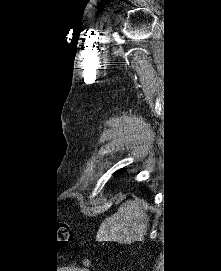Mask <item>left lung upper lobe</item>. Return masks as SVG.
I'll return each instance as SVG.
<instances>
[{
    "label": "left lung upper lobe",
    "mask_w": 221,
    "mask_h": 271,
    "mask_svg": "<svg viewBox=\"0 0 221 271\" xmlns=\"http://www.w3.org/2000/svg\"><path fill=\"white\" fill-rule=\"evenodd\" d=\"M124 171H125L124 169H120V170L116 171V172L114 173V175L121 174V173H123Z\"/></svg>",
    "instance_id": "1"
}]
</instances>
